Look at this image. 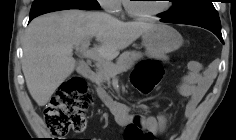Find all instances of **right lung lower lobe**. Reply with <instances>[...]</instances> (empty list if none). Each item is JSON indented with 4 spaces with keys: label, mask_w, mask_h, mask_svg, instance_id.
I'll use <instances>...</instances> for the list:
<instances>
[{
    "label": "right lung lower lobe",
    "mask_w": 236,
    "mask_h": 140,
    "mask_svg": "<svg viewBox=\"0 0 236 140\" xmlns=\"http://www.w3.org/2000/svg\"><path fill=\"white\" fill-rule=\"evenodd\" d=\"M36 16H30L29 17V21H31L33 18H35Z\"/></svg>",
    "instance_id": "1"
}]
</instances>
